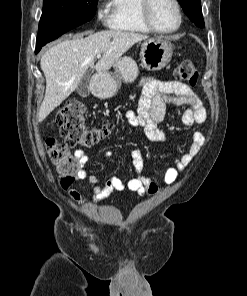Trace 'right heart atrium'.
I'll use <instances>...</instances> for the list:
<instances>
[{
	"mask_svg": "<svg viewBox=\"0 0 247 296\" xmlns=\"http://www.w3.org/2000/svg\"><path fill=\"white\" fill-rule=\"evenodd\" d=\"M97 19L102 23H109L111 19V13L105 3L99 2L96 11Z\"/></svg>",
	"mask_w": 247,
	"mask_h": 296,
	"instance_id": "obj_1",
	"label": "right heart atrium"
}]
</instances>
